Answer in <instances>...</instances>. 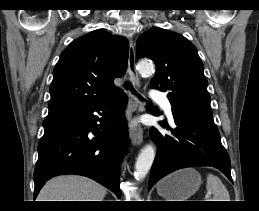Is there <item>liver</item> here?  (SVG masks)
Here are the masks:
<instances>
[{
	"label": "liver",
	"instance_id": "liver-1",
	"mask_svg": "<svg viewBox=\"0 0 259 211\" xmlns=\"http://www.w3.org/2000/svg\"><path fill=\"white\" fill-rule=\"evenodd\" d=\"M105 194L106 188L90 178L66 175L49 180L37 201H103Z\"/></svg>",
	"mask_w": 259,
	"mask_h": 211
}]
</instances>
